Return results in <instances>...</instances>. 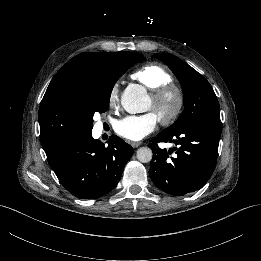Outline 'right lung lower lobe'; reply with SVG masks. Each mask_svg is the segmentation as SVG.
Returning <instances> with one entry per match:
<instances>
[{"mask_svg": "<svg viewBox=\"0 0 261 261\" xmlns=\"http://www.w3.org/2000/svg\"><path fill=\"white\" fill-rule=\"evenodd\" d=\"M133 148L112 135L105 147L91 132L72 140L47 156L60 183L72 195L97 199L115 188Z\"/></svg>", "mask_w": 261, "mask_h": 261, "instance_id": "right-lung-lower-lobe-1", "label": "right lung lower lobe"}]
</instances>
